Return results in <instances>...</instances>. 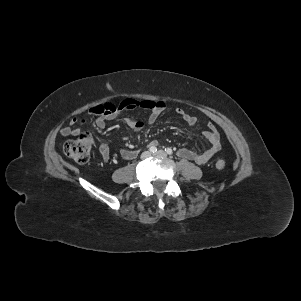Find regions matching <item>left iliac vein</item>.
<instances>
[{
    "mask_svg": "<svg viewBox=\"0 0 301 301\" xmlns=\"http://www.w3.org/2000/svg\"><path fill=\"white\" fill-rule=\"evenodd\" d=\"M154 156H158V157H162V158H166L167 157V153L163 150H159L156 153L153 154Z\"/></svg>",
    "mask_w": 301,
    "mask_h": 301,
    "instance_id": "obj_1",
    "label": "left iliac vein"
}]
</instances>
